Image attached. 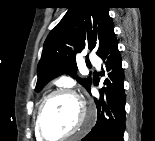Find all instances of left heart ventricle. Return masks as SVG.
<instances>
[{"instance_id": "1", "label": "left heart ventricle", "mask_w": 155, "mask_h": 141, "mask_svg": "<svg viewBox=\"0 0 155 141\" xmlns=\"http://www.w3.org/2000/svg\"><path fill=\"white\" fill-rule=\"evenodd\" d=\"M82 119V109L72 97L56 95L46 103L41 125L46 137L56 139L77 128Z\"/></svg>"}]
</instances>
